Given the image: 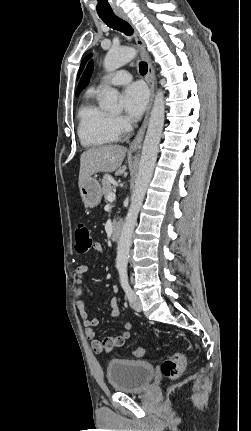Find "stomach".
I'll use <instances>...</instances> for the list:
<instances>
[{"instance_id":"obj_1","label":"stomach","mask_w":251,"mask_h":431,"mask_svg":"<svg viewBox=\"0 0 251 431\" xmlns=\"http://www.w3.org/2000/svg\"><path fill=\"white\" fill-rule=\"evenodd\" d=\"M80 194L85 207L93 208L97 206L102 198V189L99 182L90 177L80 187Z\"/></svg>"}]
</instances>
